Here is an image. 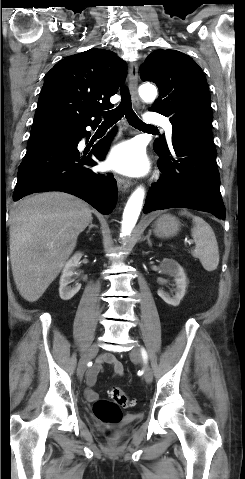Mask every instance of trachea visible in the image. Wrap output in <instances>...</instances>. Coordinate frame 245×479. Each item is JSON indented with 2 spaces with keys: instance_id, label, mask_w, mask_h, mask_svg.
Returning <instances> with one entry per match:
<instances>
[{
  "instance_id": "obj_1",
  "label": "trachea",
  "mask_w": 245,
  "mask_h": 479,
  "mask_svg": "<svg viewBox=\"0 0 245 479\" xmlns=\"http://www.w3.org/2000/svg\"><path fill=\"white\" fill-rule=\"evenodd\" d=\"M123 116L126 117L129 124L139 129H154L155 127L145 124L141 121L132 109L131 97L126 87L121 90V102L115 109L103 113L104 121L102 124L114 125Z\"/></svg>"
}]
</instances>
